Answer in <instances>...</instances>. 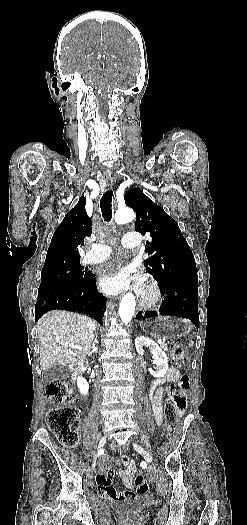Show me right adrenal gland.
I'll return each instance as SVG.
<instances>
[{
  "mask_svg": "<svg viewBox=\"0 0 247 525\" xmlns=\"http://www.w3.org/2000/svg\"><path fill=\"white\" fill-rule=\"evenodd\" d=\"M98 345H99V341H97V339H94L92 351L91 353H89V357L90 355H93V353H98Z\"/></svg>",
  "mask_w": 247,
  "mask_h": 525,
  "instance_id": "obj_1",
  "label": "right adrenal gland"
}]
</instances>
